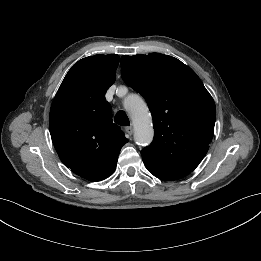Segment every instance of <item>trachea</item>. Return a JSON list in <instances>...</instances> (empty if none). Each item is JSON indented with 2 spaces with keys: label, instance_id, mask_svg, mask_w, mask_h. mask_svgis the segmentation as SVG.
I'll return each mask as SVG.
<instances>
[{
  "label": "trachea",
  "instance_id": "3493384b",
  "mask_svg": "<svg viewBox=\"0 0 261 261\" xmlns=\"http://www.w3.org/2000/svg\"><path fill=\"white\" fill-rule=\"evenodd\" d=\"M114 122L117 123L118 125H121V126H128V125H130L128 116L122 110L117 112V114H116V116L114 118Z\"/></svg>",
  "mask_w": 261,
  "mask_h": 261
}]
</instances>
